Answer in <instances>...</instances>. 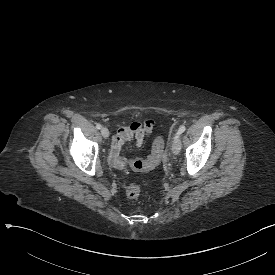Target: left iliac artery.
Listing matches in <instances>:
<instances>
[{"label":"left iliac artery","instance_id":"obj_1","mask_svg":"<svg viewBox=\"0 0 275 275\" xmlns=\"http://www.w3.org/2000/svg\"><path fill=\"white\" fill-rule=\"evenodd\" d=\"M186 130V127L184 125H181L179 130L177 131L174 138L178 137L180 134H182Z\"/></svg>","mask_w":275,"mask_h":275}]
</instances>
